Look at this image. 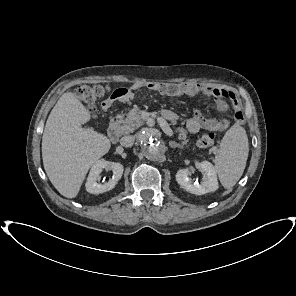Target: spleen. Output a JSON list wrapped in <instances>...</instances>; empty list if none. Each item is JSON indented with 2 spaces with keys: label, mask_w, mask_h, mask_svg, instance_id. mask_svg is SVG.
Segmentation results:
<instances>
[{
  "label": "spleen",
  "mask_w": 296,
  "mask_h": 296,
  "mask_svg": "<svg viewBox=\"0 0 296 296\" xmlns=\"http://www.w3.org/2000/svg\"><path fill=\"white\" fill-rule=\"evenodd\" d=\"M249 143L246 131L234 124L224 135L213 160L215 171L224 188H232L246 167Z\"/></svg>",
  "instance_id": "3e777b00"
}]
</instances>
